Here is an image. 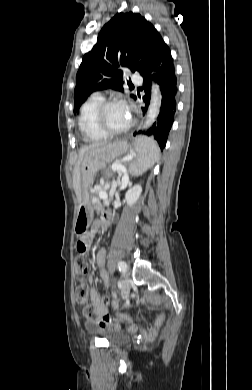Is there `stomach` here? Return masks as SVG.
<instances>
[{"instance_id":"0dacf381","label":"stomach","mask_w":252,"mask_h":390,"mask_svg":"<svg viewBox=\"0 0 252 390\" xmlns=\"http://www.w3.org/2000/svg\"><path fill=\"white\" fill-rule=\"evenodd\" d=\"M125 151L126 145L117 142L90 150L85 154L80 169L82 178L81 203L74 223V229L77 233L85 231L94 217V206L90 200L88 190L93 183L95 174Z\"/></svg>"}]
</instances>
